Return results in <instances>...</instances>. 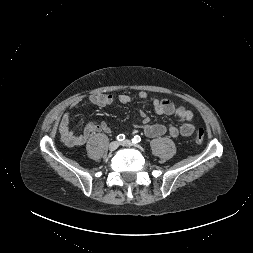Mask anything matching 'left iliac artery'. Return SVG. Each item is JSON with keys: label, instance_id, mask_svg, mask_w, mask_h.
Here are the masks:
<instances>
[{"label": "left iliac artery", "instance_id": "left-iliac-artery-1", "mask_svg": "<svg viewBox=\"0 0 253 253\" xmlns=\"http://www.w3.org/2000/svg\"><path fill=\"white\" fill-rule=\"evenodd\" d=\"M141 141V137L139 135H135L132 139V143L137 144Z\"/></svg>", "mask_w": 253, "mask_h": 253}]
</instances>
